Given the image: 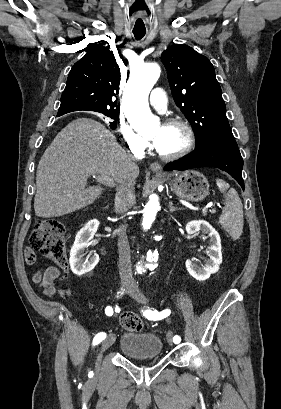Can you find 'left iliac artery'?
<instances>
[{
  "mask_svg": "<svg viewBox=\"0 0 281 409\" xmlns=\"http://www.w3.org/2000/svg\"><path fill=\"white\" fill-rule=\"evenodd\" d=\"M143 315L148 319V320H160L163 319L167 316L170 315V310L166 309L161 312H158L157 310L153 309H148L143 311ZM181 338L178 335H175L173 337V342L174 343H179Z\"/></svg>",
  "mask_w": 281,
  "mask_h": 409,
  "instance_id": "left-iliac-artery-1",
  "label": "left iliac artery"
}]
</instances>
